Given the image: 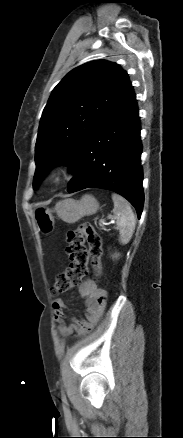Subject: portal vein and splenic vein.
Masks as SVG:
<instances>
[{
  "label": "portal vein and splenic vein",
  "instance_id": "portal-vein-and-splenic-vein-1",
  "mask_svg": "<svg viewBox=\"0 0 183 438\" xmlns=\"http://www.w3.org/2000/svg\"><path fill=\"white\" fill-rule=\"evenodd\" d=\"M114 221L113 220H111L110 222H107L105 219H101L100 220V224H102V225H109V224H111V223H113Z\"/></svg>",
  "mask_w": 183,
  "mask_h": 438
}]
</instances>
